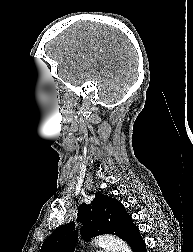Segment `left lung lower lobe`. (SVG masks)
Returning a JSON list of instances; mask_svg holds the SVG:
<instances>
[{"label": "left lung lower lobe", "instance_id": "0a47b994", "mask_svg": "<svg viewBox=\"0 0 193 252\" xmlns=\"http://www.w3.org/2000/svg\"><path fill=\"white\" fill-rule=\"evenodd\" d=\"M127 243L130 245L133 252H146L145 241L142 239L137 227L131 232Z\"/></svg>", "mask_w": 193, "mask_h": 252}]
</instances>
